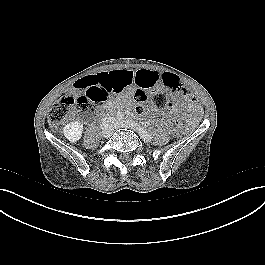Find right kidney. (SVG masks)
<instances>
[{
    "mask_svg": "<svg viewBox=\"0 0 265 265\" xmlns=\"http://www.w3.org/2000/svg\"><path fill=\"white\" fill-rule=\"evenodd\" d=\"M82 132H83V124L78 121L68 123L63 129L64 136L71 143L79 141V139L82 136Z\"/></svg>",
    "mask_w": 265,
    "mask_h": 265,
    "instance_id": "ca27d5eb",
    "label": "right kidney"
}]
</instances>
